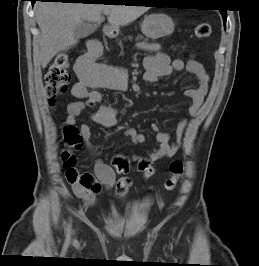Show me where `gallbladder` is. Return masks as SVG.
<instances>
[{
	"label": "gallbladder",
	"mask_w": 259,
	"mask_h": 266,
	"mask_svg": "<svg viewBox=\"0 0 259 266\" xmlns=\"http://www.w3.org/2000/svg\"><path fill=\"white\" fill-rule=\"evenodd\" d=\"M96 28L97 25L93 22L84 21L75 28L74 33L77 37L84 38L92 34Z\"/></svg>",
	"instance_id": "bac80fb5"
}]
</instances>
